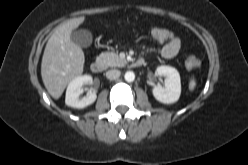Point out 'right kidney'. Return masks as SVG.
<instances>
[{
    "instance_id": "right-kidney-1",
    "label": "right kidney",
    "mask_w": 248,
    "mask_h": 165,
    "mask_svg": "<svg viewBox=\"0 0 248 165\" xmlns=\"http://www.w3.org/2000/svg\"><path fill=\"white\" fill-rule=\"evenodd\" d=\"M92 82L90 75H82L75 77L69 84L66 90L65 104L73 108H85L95 102L97 95L94 92H88L83 98H79L83 93L82 86Z\"/></svg>"
}]
</instances>
